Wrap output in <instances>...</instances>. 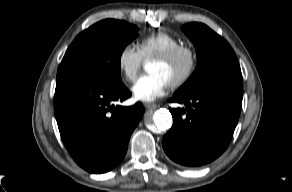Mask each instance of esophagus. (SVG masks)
<instances>
[{
  "mask_svg": "<svg viewBox=\"0 0 292 192\" xmlns=\"http://www.w3.org/2000/svg\"><path fill=\"white\" fill-rule=\"evenodd\" d=\"M144 106L147 109H156L158 107V105L155 103H145Z\"/></svg>",
  "mask_w": 292,
  "mask_h": 192,
  "instance_id": "34e87169",
  "label": "esophagus"
}]
</instances>
